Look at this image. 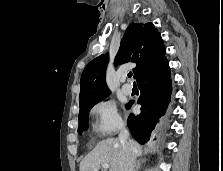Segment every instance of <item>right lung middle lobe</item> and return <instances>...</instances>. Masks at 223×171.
Instances as JSON below:
<instances>
[{"label":"right lung middle lobe","instance_id":"dd1d6c3e","mask_svg":"<svg viewBox=\"0 0 223 171\" xmlns=\"http://www.w3.org/2000/svg\"><path fill=\"white\" fill-rule=\"evenodd\" d=\"M105 98L100 99V100H98V101H96L94 103L85 105V106L80 108V111H79V126H78V133L79 134H82V132L87 130V128H88V115H89V112H90L91 108L95 104H97L98 102L104 100Z\"/></svg>","mask_w":223,"mask_h":171}]
</instances>
